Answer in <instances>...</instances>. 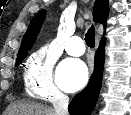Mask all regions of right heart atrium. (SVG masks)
<instances>
[{
  "label": "right heart atrium",
  "instance_id": "d8ad5b80",
  "mask_svg": "<svg viewBox=\"0 0 131 115\" xmlns=\"http://www.w3.org/2000/svg\"><path fill=\"white\" fill-rule=\"evenodd\" d=\"M55 57L47 48H39L26 60L23 79L26 90L36 99L54 101L66 96L53 76Z\"/></svg>",
  "mask_w": 131,
  "mask_h": 115
}]
</instances>
